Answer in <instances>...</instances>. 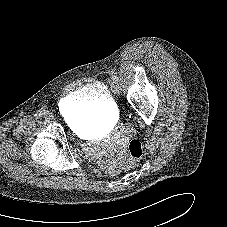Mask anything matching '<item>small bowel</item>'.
Listing matches in <instances>:
<instances>
[{"label":"small bowel","mask_w":227,"mask_h":227,"mask_svg":"<svg viewBox=\"0 0 227 227\" xmlns=\"http://www.w3.org/2000/svg\"><path fill=\"white\" fill-rule=\"evenodd\" d=\"M120 157H121L120 151L115 153H106L102 156H99L97 158V162L103 169L109 172H115L117 170Z\"/></svg>","instance_id":"c3829d8e"}]
</instances>
